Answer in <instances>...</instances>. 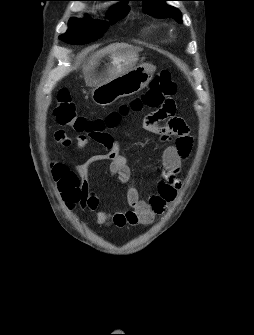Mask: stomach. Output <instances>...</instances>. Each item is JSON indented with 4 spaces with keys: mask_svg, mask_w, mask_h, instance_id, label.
Wrapping results in <instances>:
<instances>
[{
    "mask_svg": "<svg viewBox=\"0 0 254 335\" xmlns=\"http://www.w3.org/2000/svg\"><path fill=\"white\" fill-rule=\"evenodd\" d=\"M139 48H119L108 57L99 59L86 77L93 87L91 98L100 106H107L118 98L135 94L151 81L155 67L136 65Z\"/></svg>",
    "mask_w": 254,
    "mask_h": 335,
    "instance_id": "1",
    "label": "stomach"
}]
</instances>
